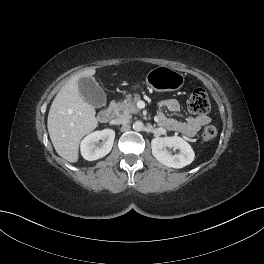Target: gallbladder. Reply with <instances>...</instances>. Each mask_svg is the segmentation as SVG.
<instances>
[{
    "label": "gallbladder",
    "instance_id": "bac80fb5",
    "mask_svg": "<svg viewBox=\"0 0 264 264\" xmlns=\"http://www.w3.org/2000/svg\"><path fill=\"white\" fill-rule=\"evenodd\" d=\"M79 91L81 97L95 108H99L106 103L104 90L92 77H84L79 80Z\"/></svg>",
    "mask_w": 264,
    "mask_h": 264
}]
</instances>
